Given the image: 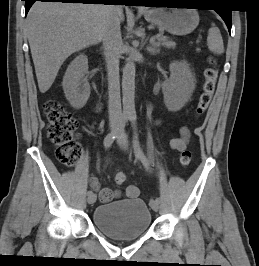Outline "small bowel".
Here are the masks:
<instances>
[{"instance_id":"1","label":"small bowel","mask_w":259,"mask_h":266,"mask_svg":"<svg viewBox=\"0 0 259 266\" xmlns=\"http://www.w3.org/2000/svg\"><path fill=\"white\" fill-rule=\"evenodd\" d=\"M190 138V132L187 127H182L180 130V136L174 138L170 141V147L178 152H183L186 150ZM91 187L96 190L99 194V199L101 202L106 203L114 198L120 196V191L112 190L109 188H101L96 177H91L90 179ZM125 195L127 198L134 199L139 195V189L136 186L130 185L126 188Z\"/></svg>"}]
</instances>
